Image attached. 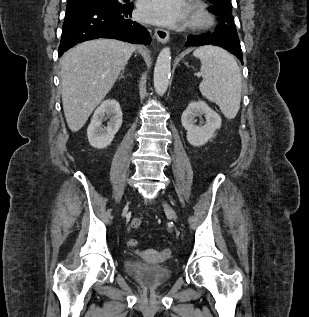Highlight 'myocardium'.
Masks as SVG:
<instances>
[{
    "instance_id": "myocardium-1",
    "label": "myocardium",
    "mask_w": 309,
    "mask_h": 317,
    "mask_svg": "<svg viewBox=\"0 0 309 317\" xmlns=\"http://www.w3.org/2000/svg\"><path fill=\"white\" fill-rule=\"evenodd\" d=\"M214 24V16L203 3L195 0L191 6L186 27L192 31H201Z\"/></svg>"
}]
</instances>
